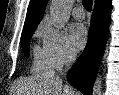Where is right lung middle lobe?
<instances>
[{
    "mask_svg": "<svg viewBox=\"0 0 119 95\" xmlns=\"http://www.w3.org/2000/svg\"><path fill=\"white\" fill-rule=\"evenodd\" d=\"M35 30H31V31H28V32H25V33H22L21 35V44L23 46V49H24V53H25V56L28 57L29 54H30V50H29V44H30V39L32 37V34Z\"/></svg>",
    "mask_w": 119,
    "mask_h": 95,
    "instance_id": "right-lung-middle-lobe-1",
    "label": "right lung middle lobe"
}]
</instances>
